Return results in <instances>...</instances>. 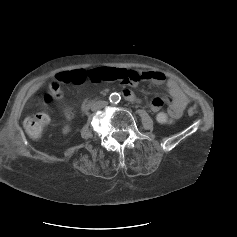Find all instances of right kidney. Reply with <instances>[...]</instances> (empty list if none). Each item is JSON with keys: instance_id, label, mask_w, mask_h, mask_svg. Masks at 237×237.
<instances>
[{"instance_id": "obj_1", "label": "right kidney", "mask_w": 237, "mask_h": 237, "mask_svg": "<svg viewBox=\"0 0 237 237\" xmlns=\"http://www.w3.org/2000/svg\"><path fill=\"white\" fill-rule=\"evenodd\" d=\"M71 131L70 127L68 125L64 126L62 129L63 135H67Z\"/></svg>"}]
</instances>
